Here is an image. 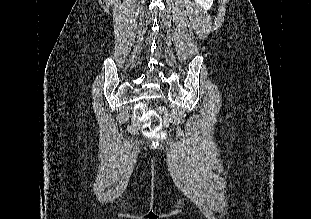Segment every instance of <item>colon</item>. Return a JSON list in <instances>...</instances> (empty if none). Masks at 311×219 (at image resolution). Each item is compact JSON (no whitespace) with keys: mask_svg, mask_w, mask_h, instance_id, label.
Masks as SVG:
<instances>
[{"mask_svg":"<svg viewBox=\"0 0 311 219\" xmlns=\"http://www.w3.org/2000/svg\"><path fill=\"white\" fill-rule=\"evenodd\" d=\"M137 119L143 124V132L151 138H160L164 136L162 132L163 121L160 111L147 107L145 104H139L135 109Z\"/></svg>","mask_w":311,"mask_h":219,"instance_id":"5ec220e1","label":"colon"}]
</instances>
